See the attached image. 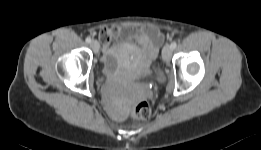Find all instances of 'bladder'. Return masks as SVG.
<instances>
[{
  "label": "bladder",
  "mask_w": 261,
  "mask_h": 150,
  "mask_svg": "<svg viewBox=\"0 0 261 150\" xmlns=\"http://www.w3.org/2000/svg\"><path fill=\"white\" fill-rule=\"evenodd\" d=\"M127 52V47L117 45L104 50L102 55L101 70L104 74H112L122 69V63ZM153 73L160 77L162 72L158 65H154Z\"/></svg>",
  "instance_id": "bladder-1"
}]
</instances>
